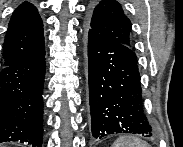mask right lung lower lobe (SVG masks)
I'll list each match as a JSON object with an SVG mask.
<instances>
[{
	"label": "right lung lower lobe",
	"instance_id": "obj_1",
	"mask_svg": "<svg viewBox=\"0 0 183 147\" xmlns=\"http://www.w3.org/2000/svg\"><path fill=\"white\" fill-rule=\"evenodd\" d=\"M45 50L0 71V143L42 145Z\"/></svg>",
	"mask_w": 183,
	"mask_h": 147
}]
</instances>
